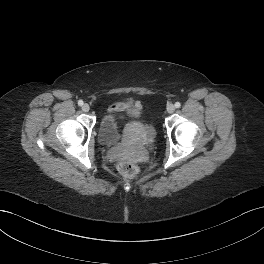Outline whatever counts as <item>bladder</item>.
I'll return each mask as SVG.
<instances>
[{
  "label": "bladder",
  "mask_w": 264,
  "mask_h": 264,
  "mask_svg": "<svg viewBox=\"0 0 264 264\" xmlns=\"http://www.w3.org/2000/svg\"><path fill=\"white\" fill-rule=\"evenodd\" d=\"M128 120L140 126L146 136H153V128L144 120L140 109L132 108L128 112ZM98 138L101 144L112 146L124 139L123 125L113 114H105L99 123Z\"/></svg>",
  "instance_id": "1"
}]
</instances>
